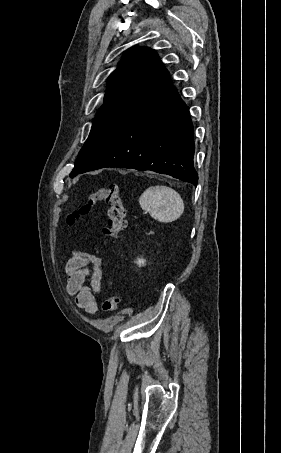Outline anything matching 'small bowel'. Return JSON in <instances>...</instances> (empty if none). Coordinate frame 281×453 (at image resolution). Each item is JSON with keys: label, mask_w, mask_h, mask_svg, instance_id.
Segmentation results:
<instances>
[{"label": "small bowel", "mask_w": 281, "mask_h": 453, "mask_svg": "<svg viewBox=\"0 0 281 453\" xmlns=\"http://www.w3.org/2000/svg\"><path fill=\"white\" fill-rule=\"evenodd\" d=\"M104 267L103 260L93 253H74L67 261L68 292L75 298L76 305L90 315L98 312L94 294L100 291L101 272ZM86 279L88 285L85 283Z\"/></svg>", "instance_id": "1"}]
</instances>
